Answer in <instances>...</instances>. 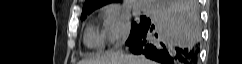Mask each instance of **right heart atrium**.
<instances>
[{
  "mask_svg": "<svg viewBox=\"0 0 242 64\" xmlns=\"http://www.w3.org/2000/svg\"><path fill=\"white\" fill-rule=\"evenodd\" d=\"M103 38L112 46L121 44L127 37L130 21L126 13L116 6L103 10Z\"/></svg>",
  "mask_w": 242,
  "mask_h": 64,
  "instance_id": "d8ad5b80",
  "label": "right heart atrium"
}]
</instances>
